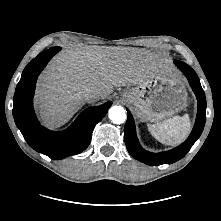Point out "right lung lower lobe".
I'll list each match as a JSON object with an SVG mask.
<instances>
[{"label": "right lung lower lobe", "mask_w": 221, "mask_h": 221, "mask_svg": "<svg viewBox=\"0 0 221 221\" xmlns=\"http://www.w3.org/2000/svg\"><path fill=\"white\" fill-rule=\"evenodd\" d=\"M53 47L41 52L23 70L14 94L13 116L26 142L36 151L59 160L79 154L90 144L95 125L106 115L111 102L84 110L65 131L55 132L42 127L33 110L37 76L48 61L59 52Z\"/></svg>", "instance_id": "right-lung-lower-lobe-1"}]
</instances>
